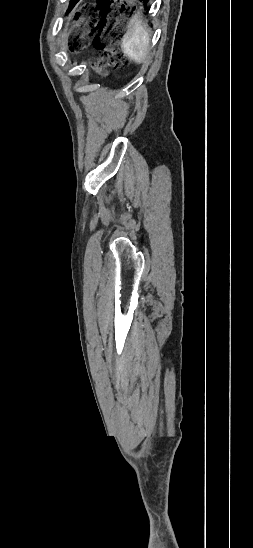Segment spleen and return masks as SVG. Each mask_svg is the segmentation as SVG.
Wrapping results in <instances>:
<instances>
[{"instance_id": "spleen-1", "label": "spleen", "mask_w": 253, "mask_h": 548, "mask_svg": "<svg viewBox=\"0 0 253 548\" xmlns=\"http://www.w3.org/2000/svg\"><path fill=\"white\" fill-rule=\"evenodd\" d=\"M122 51L131 60L142 63L150 48V36L139 13L135 14L128 23L127 32L123 37Z\"/></svg>"}]
</instances>
